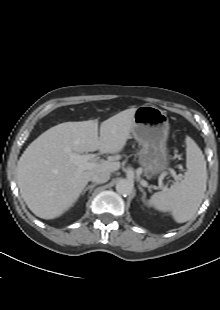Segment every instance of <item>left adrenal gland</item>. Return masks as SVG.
<instances>
[{"mask_svg":"<svg viewBox=\"0 0 220 310\" xmlns=\"http://www.w3.org/2000/svg\"><path fill=\"white\" fill-rule=\"evenodd\" d=\"M139 190L143 193L142 201L146 204V192L139 186Z\"/></svg>","mask_w":220,"mask_h":310,"instance_id":"obj_1","label":"left adrenal gland"}]
</instances>
